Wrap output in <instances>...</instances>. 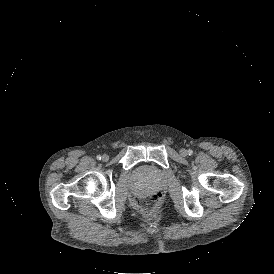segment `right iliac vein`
Segmentation results:
<instances>
[{"label":"right iliac vein","instance_id":"1","mask_svg":"<svg viewBox=\"0 0 274 274\" xmlns=\"http://www.w3.org/2000/svg\"><path fill=\"white\" fill-rule=\"evenodd\" d=\"M109 160V156L107 154H104L102 156V161L107 162Z\"/></svg>","mask_w":274,"mask_h":274}]
</instances>
